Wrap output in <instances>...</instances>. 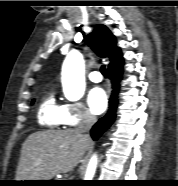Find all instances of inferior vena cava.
Wrapping results in <instances>:
<instances>
[{
    "label": "inferior vena cava",
    "mask_w": 178,
    "mask_h": 186,
    "mask_svg": "<svg viewBox=\"0 0 178 186\" xmlns=\"http://www.w3.org/2000/svg\"><path fill=\"white\" fill-rule=\"evenodd\" d=\"M95 122H96V117L92 115L89 111H86L83 115V119L81 123L78 125L76 130L79 133L88 136L86 133L89 132V130L91 129V127L94 125Z\"/></svg>",
    "instance_id": "obj_1"
}]
</instances>
